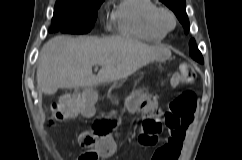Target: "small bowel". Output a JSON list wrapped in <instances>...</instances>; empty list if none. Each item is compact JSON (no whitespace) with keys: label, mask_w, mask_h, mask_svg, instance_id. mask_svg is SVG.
Wrapping results in <instances>:
<instances>
[{"label":"small bowel","mask_w":242,"mask_h":160,"mask_svg":"<svg viewBox=\"0 0 242 160\" xmlns=\"http://www.w3.org/2000/svg\"><path fill=\"white\" fill-rule=\"evenodd\" d=\"M127 107L130 112H135L140 109L139 103H135L131 101L129 97L127 99ZM94 108L89 112L82 113L83 116L89 117L94 115ZM176 130L180 131L181 135L179 138L173 136V132ZM170 136L164 142L162 146L157 148L151 158V160H178L183 142L185 140L186 135V127H179L178 129L169 128ZM143 145H152V144H143ZM94 146V149L88 150L87 152L81 154L77 160H82V157L89 152H95L97 156L108 157L112 155L116 150V141L113 135L111 134V130L105 133L102 136H99L95 143L91 144ZM98 160V158H97Z\"/></svg>","instance_id":"c3829d8e"}]
</instances>
